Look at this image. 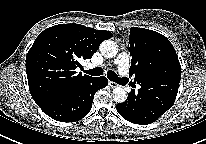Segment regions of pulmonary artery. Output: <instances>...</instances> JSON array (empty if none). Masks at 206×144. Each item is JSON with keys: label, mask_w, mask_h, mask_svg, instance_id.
Returning <instances> with one entry per match:
<instances>
[{"label": "pulmonary artery", "mask_w": 206, "mask_h": 144, "mask_svg": "<svg viewBox=\"0 0 206 144\" xmlns=\"http://www.w3.org/2000/svg\"><path fill=\"white\" fill-rule=\"evenodd\" d=\"M115 64L118 65L121 75H126L129 69V56L127 53L122 52L115 60Z\"/></svg>", "instance_id": "1"}]
</instances>
